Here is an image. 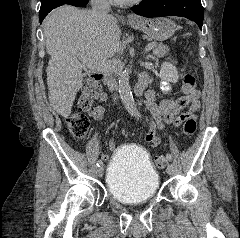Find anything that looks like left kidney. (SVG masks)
Wrapping results in <instances>:
<instances>
[{
    "mask_svg": "<svg viewBox=\"0 0 240 238\" xmlns=\"http://www.w3.org/2000/svg\"><path fill=\"white\" fill-rule=\"evenodd\" d=\"M159 77L161 79V90L164 92H168L171 90L170 83H176L179 79V74L173 64L169 62H163L161 65Z\"/></svg>",
    "mask_w": 240,
    "mask_h": 238,
    "instance_id": "1",
    "label": "left kidney"
}]
</instances>
